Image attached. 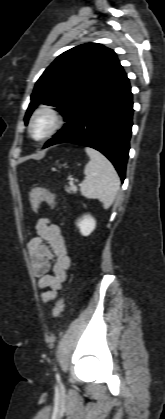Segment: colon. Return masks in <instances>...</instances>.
I'll return each mask as SVG.
<instances>
[{"label": "colon", "mask_w": 165, "mask_h": 419, "mask_svg": "<svg viewBox=\"0 0 165 419\" xmlns=\"http://www.w3.org/2000/svg\"><path fill=\"white\" fill-rule=\"evenodd\" d=\"M30 205L34 211H37L42 203H47L52 207L56 206L54 194L44 187L33 188L30 193ZM64 309V300L60 298L53 307L54 317H59Z\"/></svg>", "instance_id": "colon-1"}]
</instances>
